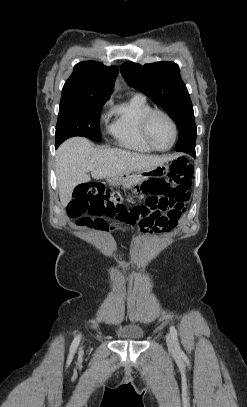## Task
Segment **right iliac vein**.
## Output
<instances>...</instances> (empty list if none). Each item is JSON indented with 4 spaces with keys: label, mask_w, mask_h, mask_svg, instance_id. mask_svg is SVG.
Listing matches in <instances>:
<instances>
[{
    "label": "right iliac vein",
    "mask_w": 247,
    "mask_h": 407,
    "mask_svg": "<svg viewBox=\"0 0 247 407\" xmlns=\"http://www.w3.org/2000/svg\"><path fill=\"white\" fill-rule=\"evenodd\" d=\"M80 352H82V347L80 348Z\"/></svg>",
    "instance_id": "obj_1"
}]
</instances>
